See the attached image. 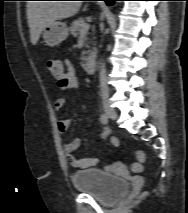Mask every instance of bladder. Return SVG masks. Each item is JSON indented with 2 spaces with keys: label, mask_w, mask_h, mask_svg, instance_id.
Masks as SVG:
<instances>
[{
  "label": "bladder",
  "mask_w": 188,
  "mask_h": 213,
  "mask_svg": "<svg viewBox=\"0 0 188 213\" xmlns=\"http://www.w3.org/2000/svg\"><path fill=\"white\" fill-rule=\"evenodd\" d=\"M71 181L75 188L105 204L115 202L128 189V182L124 178L108 174L100 169L76 171L72 174Z\"/></svg>",
  "instance_id": "1"
}]
</instances>
